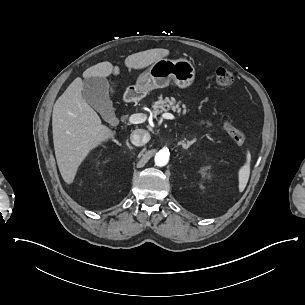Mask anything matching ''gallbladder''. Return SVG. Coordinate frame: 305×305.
Here are the masks:
<instances>
[{
  "label": "gallbladder",
  "mask_w": 305,
  "mask_h": 305,
  "mask_svg": "<svg viewBox=\"0 0 305 305\" xmlns=\"http://www.w3.org/2000/svg\"><path fill=\"white\" fill-rule=\"evenodd\" d=\"M109 87V82L105 77H90L83 80V98L101 114L106 122H110L115 117L109 97Z\"/></svg>",
  "instance_id": "bac80fb5"
}]
</instances>
